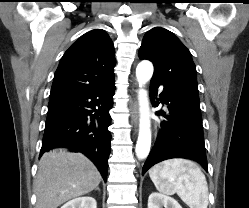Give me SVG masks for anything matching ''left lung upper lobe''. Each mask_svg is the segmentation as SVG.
Returning a JSON list of instances; mask_svg holds the SVG:
<instances>
[{"instance_id":"obj_1","label":"left lung upper lobe","mask_w":249,"mask_h":208,"mask_svg":"<svg viewBox=\"0 0 249 208\" xmlns=\"http://www.w3.org/2000/svg\"><path fill=\"white\" fill-rule=\"evenodd\" d=\"M140 59L154 65V79L199 101L196 67L189 50L170 31L155 27L142 41Z\"/></svg>"}]
</instances>
